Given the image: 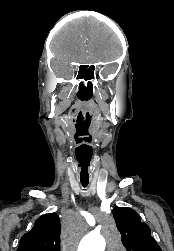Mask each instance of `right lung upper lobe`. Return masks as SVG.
Wrapping results in <instances>:
<instances>
[{
    "mask_svg": "<svg viewBox=\"0 0 174 251\" xmlns=\"http://www.w3.org/2000/svg\"><path fill=\"white\" fill-rule=\"evenodd\" d=\"M60 220L57 214L41 216L32 230L23 235L17 251H59Z\"/></svg>",
    "mask_w": 174,
    "mask_h": 251,
    "instance_id": "obj_1",
    "label": "right lung upper lobe"
}]
</instances>
